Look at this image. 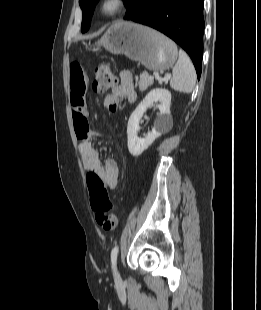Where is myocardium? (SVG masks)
<instances>
[{
  "label": "myocardium",
  "mask_w": 261,
  "mask_h": 310,
  "mask_svg": "<svg viewBox=\"0 0 261 310\" xmlns=\"http://www.w3.org/2000/svg\"><path fill=\"white\" fill-rule=\"evenodd\" d=\"M127 6V0H100L99 12L107 18H112L121 13Z\"/></svg>",
  "instance_id": "1"
}]
</instances>
